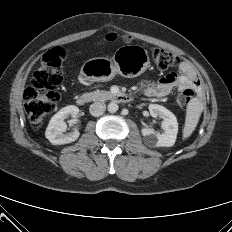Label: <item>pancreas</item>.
I'll return each mask as SVG.
<instances>
[{
  "label": "pancreas",
  "instance_id": "obj_1",
  "mask_svg": "<svg viewBox=\"0 0 232 232\" xmlns=\"http://www.w3.org/2000/svg\"><path fill=\"white\" fill-rule=\"evenodd\" d=\"M86 96H88L91 101H105L111 99L113 94H111L109 91L97 90L87 93Z\"/></svg>",
  "mask_w": 232,
  "mask_h": 232
}]
</instances>
